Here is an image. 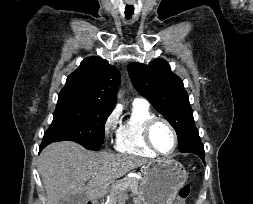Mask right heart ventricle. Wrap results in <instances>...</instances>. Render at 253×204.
<instances>
[{"mask_svg": "<svg viewBox=\"0 0 253 204\" xmlns=\"http://www.w3.org/2000/svg\"><path fill=\"white\" fill-rule=\"evenodd\" d=\"M153 117L155 115L148 106L133 104L131 115L119 125L116 149L139 157H155L156 154L146 146L143 139V127Z\"/></svg>", "mask_w": 253, "mask_h": 204, "instance_id": "obj_1", "label": "right heart ventricle"}]
</instances>
